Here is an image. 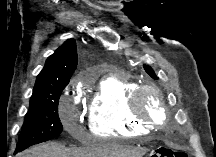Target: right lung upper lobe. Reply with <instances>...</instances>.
<instances>
[{
	"instance_id": "1",
	"label": "right lung upper lobe",
	"mask_w": 216,
	"mask_h": 157,
	"mask_svg": "<svg viewBox=\"0 0 216 157\" xmlns=\"http://www.w3.org/2000/svg\"><path fill=\"white\" fill-rule=\"evenodd\" d=\"M76 41L68 39L46 60L43 70L36 78L30 101H35L61 91L77 67Z\"/></svg>"
}]
</instances>
